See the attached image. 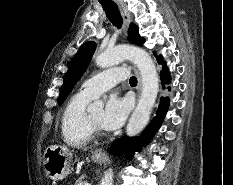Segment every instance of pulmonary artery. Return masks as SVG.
I'll use <instances>...</instances> for the list:
<instances>
[{
    "label": "pulmonary artery",
    "mask_w": 233,
    "mask_h": 185,
    "mask_svg": "<svg viewBox=\"0 0 233 185\" xmlns=\"http://www.w3.org/2000/svg\"><path fill=\"white\" fill-rule=\"evenodd\" d=\"M127 75L128 70L122 67L103 70L86 80L81 86L80 93L95 98L102 92L117 85L120 81L125 80Z\"/></svg>",
    "instance_id": "pulmonary-artery-1"
}]
</instances>
